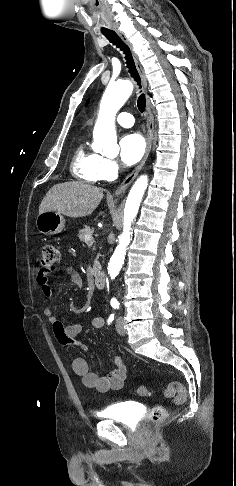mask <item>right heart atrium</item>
<instances>
[{"label":"right heart atrium","instance_id":"obj_1","mask_svg":"<svg viewBox=\"0 0 236 486\" xmlns=\"http://www.w3.org/2000/svg\"><path fill=\"white\" fill-rule=\"evenodd\" d=\"M98 171H99L100 180L108 181L113 179L117 175L119 171V166L115 160L101 157Z\"/></svg>","mask_w":236,"mask_h":486}]
</instances>
